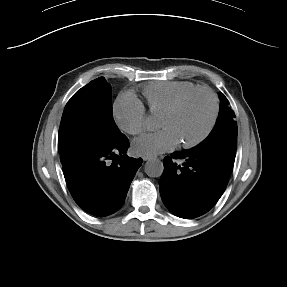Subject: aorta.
<instances>
[{
  "label": "aorta",
  "mask_w": 287,
  "mask_h": 287,
  "mask_svg": "<svg viewBox=\"0 0 287 287\" xmlns=\"http://www.w3.org/2000/svg\"><path fill=\"white\" fill-rule=\"evenodd\" d=\"M164 171V165L159 159L148 160L145 164V173L149 177H160Z\"/></svg>",
  "instance_id": "obj_1"
}]
</instances>
